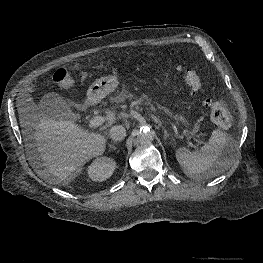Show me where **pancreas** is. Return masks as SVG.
Returning a JSON list of instances; mask_svg holds the SVG:
<instances>
[{
  "mask_svg": "<svg viewBox=\"0 0 263 263\" xmlns=\"http://www.w3.org/2000/svg\"><path fill=\"white\" fill-rule=\"evenodd\" d=\"M119 98L121 100H125L127 98H130V99H136V101L140 104H147V105H150V108L152 111H156V108L154 107V105L151 103V101L146 97V96H141L140 98H137V97H134L132 94H130L128 91L126 90H122L120 95H119Z\"/></svg>",
  "mask_w": 263,
  "mask_h": 263,
  "instance_id": "1",
  "label": "pancreas"
}]
</instances>
